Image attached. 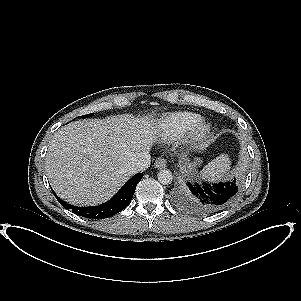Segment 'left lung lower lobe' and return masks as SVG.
<instances>
[{"label": "left lung lower lobe", "instance_id": "obj_1", "mask_svg": "<svg viewBox=\"0 0 301 301\" xmlns=\"http://www.w3.org/2000/svg\"><path fill=\"white\" fill-rule=\"evenodd\" d=\"M189 189L184 191V198L188 206L202 212H213L229 205L237 196L240 183L233 181L213 184L192 185L187 183Z\"/></svg>", "mask_w": 301, "mask_h": 301}]
</instances>
